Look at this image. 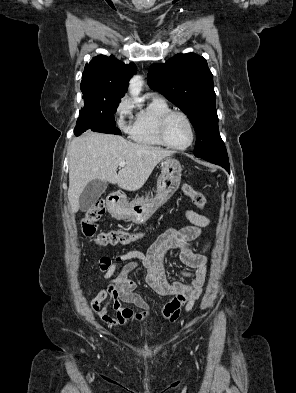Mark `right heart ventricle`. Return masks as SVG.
I'll return each instance as SVG.
<instances>
[{"label": "right heart ventricle", "instance_id": "right-heart-ventricle-1", "mask_svg": "<svg viewBox=\"0 0 296 393\" xmlns=\"http://www.w3.org/2000/svg\"><path fill=\"white\" fill-rule=\"evenodd\" d=\"M170 110L165 100L153 97L136 115L132 139L144 146H164L158 137V124L161 117Z\"/></svg>", "mask_w": 296, "mask_h": 393}]
</instances>
